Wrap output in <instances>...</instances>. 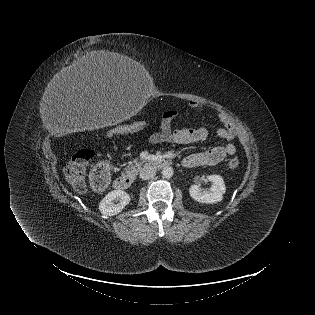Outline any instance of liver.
Here are the masks:
<instances>
[{
  "label": "liver",
  "instance_id": "6515ba94",
  "mask_svg": "<svg viewBox=\"0 0 315 315\" xmlns=\"http://www.w3.org/2000/svg\"><path fill=\"white\" fill-rule=\"evenodd\" d=\"M138 67V63L128 56L100 50L90 52L81 60L66 67L59 76L67 82L125 81Z\"/></svg>",
  "mask_w": 315,
  "mask_h": 315
}]
</instances>
